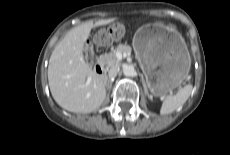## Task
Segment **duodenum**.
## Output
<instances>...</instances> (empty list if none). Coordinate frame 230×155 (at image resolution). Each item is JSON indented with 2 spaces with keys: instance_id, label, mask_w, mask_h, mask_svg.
<instances>
[{
  "instance_id": "410a0bca",
  "label": "duodenum",
  "mask_w": 230,
  "mask_h": 155,
  "mask_svg": "<svg viewBox=\"0 0 230 155\" xmlns=\"http://www.w3.org/2000/svg\"><path fill=\"white\" fill-rule=\"evenodd\" d=\"M94 70L97 75L104 76L105 74V67L101 62H97L94 66Z\"/></svg>"
}]
</instances>
